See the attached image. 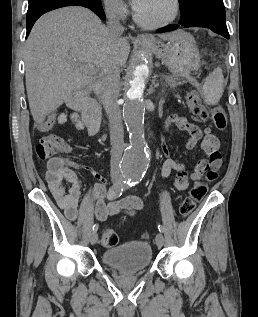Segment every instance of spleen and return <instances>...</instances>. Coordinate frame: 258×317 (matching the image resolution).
<instances>
[{
    "instance_id": "1",
    "label": "spleen",
    "mask_w": 258,
    "mask_h": 317,
    "mask_svg": "<svg viewBox=\"0 0 258 317\" xmlns=\"http://www.w3.org/2000/svg\"><path fill=\"white\" fill-rule=\"evenodd\" d=\"M222 68H215L210 72L203 84V98L207 104H217L223 94Z\"/></svg>"
}]
</instances>
